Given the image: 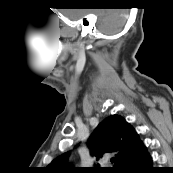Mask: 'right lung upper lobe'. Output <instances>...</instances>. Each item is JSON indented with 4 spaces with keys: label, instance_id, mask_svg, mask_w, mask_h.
<instances>
[{
    "label": "right lung upper lobe",
    "instance_id": "obj_1",
    "mask_svg": "<svg viewBox=\"0 0 173 173\" xmlns=\"http://www.w3.org/2000/svg\"><path fill=\"white\" fill-rule=\"evenodd\" d=\"M143 146L135 129L123 117L111 115L96 127L93 135L88 140V147L91 150V155L96 156L97 159L102 158L105 154H113L116 166L111 169L95 167L91 171L93 173L115 172L127 157ZM68 156L69 152L54 159L46 167L47 173H76L84 171L75 167H68Z\"/></svg>",
    "mask_w": 173,
    "mask_h": 173
}]
</instances>
